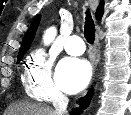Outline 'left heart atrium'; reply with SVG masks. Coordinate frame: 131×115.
Here are the masks:
<instances>
[{
  "label": "left heart atrium",
  "instance_id": "obj_1",
  "mask_svg": "<svg viewBox=\"0 0 131 115\" xmlns=\"http://www.w3.org/2000/svg\"><path fill=\"white\" fill-rule=\"evenodd\" d=\"M91 67L84 59L67 57L58 65L56 82L66 93L74 94L81 91L89 82Z\"/></svg>",
  "mask_w": 131,
  "mask_h": 115
}]
</instances>
